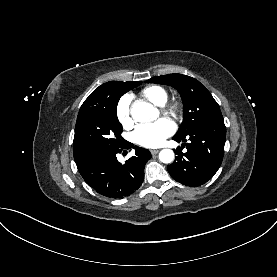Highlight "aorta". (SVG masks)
Segmentation results:
<instances>
[{"label": "aorta", "instance_id": "1", "mask_svg": "<svg viewBox=\"0 0 277 277\" xmlns=\"http://www.w3.org/2000/svg\"><path fill=\"white\" fill-rule=\"evenodd\" d=\"M131 116L138 122H148L158 116V111L149 103L138 102L132 106ZM159 159L163 163H171L174 160V152L171 149H163L159 153Z\"/></svg>", "mask_w": 277, "mask_h": 277}]
</instances>
